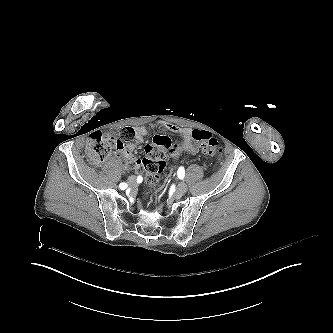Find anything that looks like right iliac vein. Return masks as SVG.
I'll use <instances>...</instances> for the list:
<instances>
[{
	"mask_svg": "<svg viewBox=\"0 0 333 333\" xmlns=\"http://www.w3.org/2000/svg\"><path fill=\"white\" fill-rule=\"evenodd\" d=\"M134 181H135V177L130 176V177L128 178V182H129V183H133Z\"/></svg>",
	"mask_w": 333,
	"mask_h": 333,
	"instance_id": "obj_1",
	"label": "right iliac vein"
}]
</instances>
